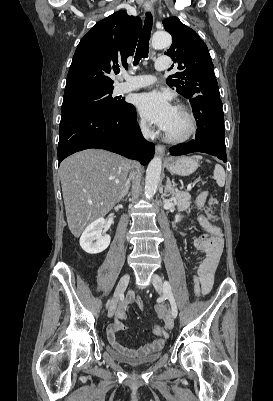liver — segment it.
<instances>
[{"mask_svg":"<svg viewBox=\"0 0 273 401\" xmlns=\"http://www.w3.org/2000/svg\"><path fill=\"white\" fill-rule=\"evenodd\" d=\"M129 168L128 158L96 148L75 152L61 162L67 223L74 237L119 203Z\"/></svg>","mask_w":273,"mask_h":401,"instance_id":"6515ba94","label":"liver"}]
</instances>
